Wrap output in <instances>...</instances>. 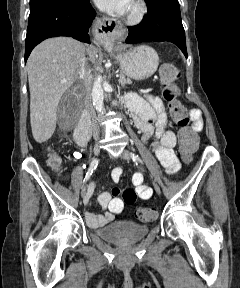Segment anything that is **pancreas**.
I'll use <instances>...</instances> for the list:
<instances>
[{"label": "pancreas", "mask_w": 240, "mask_h": 288, "mask_svg": "<svg viewBox=\"0 0 240 288\" xmlns=\"http://www.w3.org/2000/svg\"><path fill=\"white\" fill-rule=\"evenodd\" d=\"M119 84L122 86V87H125L126 85H129L131 84V80L126 78L124 75H120L119 77Z\"/></svg>", "instance_id": "obj_1"}]
</instances>
